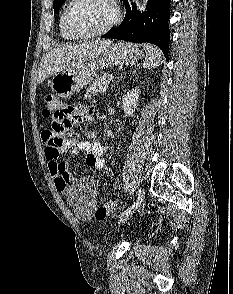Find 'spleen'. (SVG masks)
I'll return each mask as SVG.
<instances>
[{
  "instance_id": "obj_1",
  "label": "spleen",
  "mask_w": 233,
  "mask_h": 294,
  "mask_svg": "<svg viewBox=\"0 0 233 294\" xmlns=\"http://www.w3.org/2000/svg\"><path fill=\"white\" fill-rule=\"evenodd\" d=\"M146 57L143 63V67L146 69L155 68L160 64L162 59L161 52L155 46L150 44H143Z\"/></svg>"
}]
</instances>
